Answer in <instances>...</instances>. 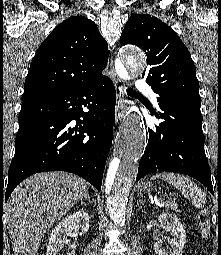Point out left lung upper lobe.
<instances>
[{
  "mask_svg": "<svg viewBox=\"0 0 221 255\" xmlns=\"http://www.w3.org/2000/svg\"><path fill=\"white\" fill-rule=\"evenodd\" d=\"M121 45L141 47L148 59L142 77L158 94L157 101L201 113L199 83L191 55L171 27L148 14L132 15L121 34Z\"/></svg>",
  "mask_w": 221,
  "mask_h": 255,
  "instance_id": "5c2ea615",
  "label": "left lung upper lobe"
}]
</instances>
